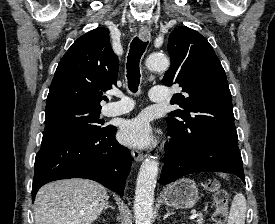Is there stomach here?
I'll list each match as a JSON object with an SVG mask.
<instances>
[{
	"label": "stomach",
	"mask_w": 275,
	"mask_h": 224,
	"mask_svg": "<svg viewBox=\"0 0 275 224\" xmlns=\"http://www.w3.org/2000/svg\"><path fill=\"white\" fill-rule=\"evenodd\" d=\"M164 203L176 209L192 208L199 199L198 187L189 178H182L167 186L162 194Z\"/></svg>",
	"instance_id": "obj_1"
}]
</instances>
